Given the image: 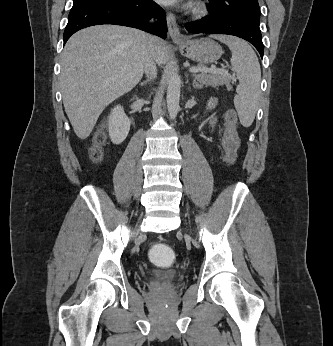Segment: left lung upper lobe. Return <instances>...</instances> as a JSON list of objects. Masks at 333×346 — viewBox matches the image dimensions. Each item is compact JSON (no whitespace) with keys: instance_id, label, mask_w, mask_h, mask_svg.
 <instances>
[{"instance_id":"left-lung-upper-lobe-1","label":"left lung upper lobe","mask_w":333,"mask_h":346,"mask_svg":"<svg viewBox=\"0 0 333 346\" xmlns=\"http://www.w3.org/2000/svg\"><path fill=\"white\" fill-rule=\"evenodd\" d=\"M210 7L222 16H235L260 24V9L257 0H209Z\"/></svg>"}]
</instances>
